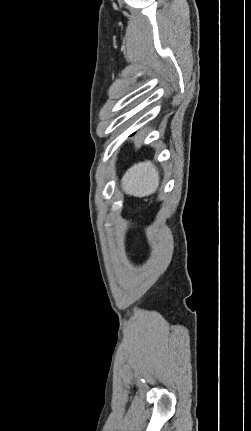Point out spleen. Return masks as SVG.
<instances>
[{
	"label": "spleen",
	"mask_w": 251,
	"mask_h": 431,
	"mask_svg": "<svg viewBox=\"0 0 251 431\" xmlns=\"http://www.w3.org/2000/svg\"><path fill=\"white\" fill-rule=\"evenodd\" d=\"M159 173L150 161L133 165L122 178L124 191L136 197H145L156 192Z\"/></svg>",
	"instance_id": "1"
}]
</instances>
